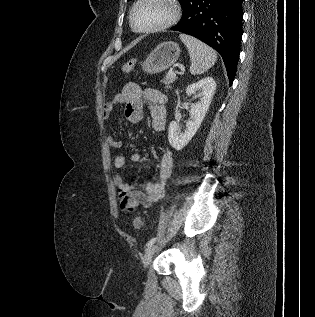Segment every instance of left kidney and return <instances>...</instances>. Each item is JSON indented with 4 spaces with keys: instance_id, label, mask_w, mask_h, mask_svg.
<instances>
[{
    "instance_id": "1",
    "label": "left kidney",
    "mask_w": 315,
    "mask_h": 317,
    "mask_svg": "<svg viewBox=\"0 0 315 317\" xmlns=\"http://www.w3.org/2000/svg\"><path fill=\"white\" fill-rule=\"evenodd\" d=\"M216 90V82L212 77H206L186 89L188 96L199 93L200 101L191 106L190 118L186 122V129L181 132L176 121H172L168 129V140L175 150L185 147L200 127Z\"/></svg>"
}]
</instances>
